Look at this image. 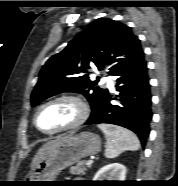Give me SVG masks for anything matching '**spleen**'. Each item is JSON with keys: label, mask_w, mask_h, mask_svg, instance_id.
<instances>
[{"label": "spleen", "mask_w": 178, "mask_h": 186, "mask_svg": "<svg viewBox=\"0 0 178 186\" xmlns=\"http://www.w3.org/2000/svg\"><path fill=\"white\" fill-rule=\"evenodd\" d=\"M98 127L106 137V158L112 159L123 151H137L140 148L137 136L128 129L110 124H99Z\"/></svg>", "instance_id": "spleen-1"}]
</instances>
